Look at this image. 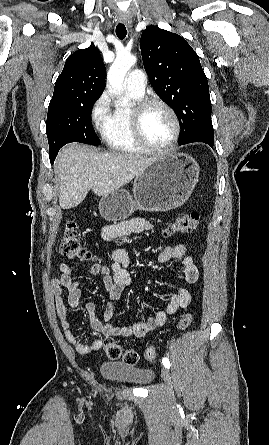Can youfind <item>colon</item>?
<instances>
[{
    "mask_svg": "<svg viewBox=\"0 0 269 445\" xmlns=\"http://www.w3.org/2000/svg\"><path fill=\"white\" fill-rule=\"evenodd\" d=\"M201 224V216L197 212L180 215L173 223L164 230L166 236L186 234L196 230ZM60 252L70 260L87 261L92 260V253L87 250L81 243L76 224L68 222L62 237L60 239ZM193 321L191 313H185L179 320V328L181 330L188 329ZM103 348L107 357L116 360L122 357V360L128 366H135L139 362V355L136 351L122 347L111 337L105 338ZM144 357L147 360H153L156 357V349L154 347L146 348Z\"/></svg>",
    "mask_w": 269,
    "mask_h": 445,
    "instance_id": "1",
    "label": "colon"
}]
</instances>
